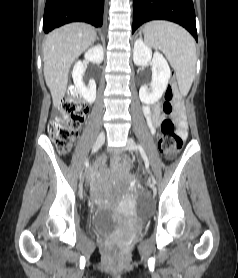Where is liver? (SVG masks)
<instances>
[{
	"label": "liver",
	"mask_w": 238,
	"mask_h": 278,
	"mask_svg": "<svg viewBox=\"0 0 238 278\" xmlns=\"http://www.w3.org/2000/svg\"><path fill=\"white\" fill-rule=\"evenodd\" d=\"M95 39V29L84 23L67 24L47 36L43 48L44 77L55 108L65 96L71 65Z\"/></svg>",
	"instance_id": "liver-1"
}]
</instances>
